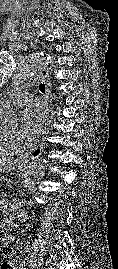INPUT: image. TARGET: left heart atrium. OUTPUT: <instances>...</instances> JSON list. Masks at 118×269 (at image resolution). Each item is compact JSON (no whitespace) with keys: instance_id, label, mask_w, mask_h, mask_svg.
<instances>
[{"instance_id":"39dd6f15","label":"left heart atrium","mask_w":118,"mask_h":269,"mask_svg":"<svg viewBox=\"0 0 118 269\" xmlns=\"http://www.w3.org/2000/svg\"><path fill=\"white\" fill-rule=\"evenodd\" d=\"M48 119L47 107L43 102L32 101L27 105L22 115V122L26 133L32 140L43 133Z\"/></svg>"}]
</instances>
